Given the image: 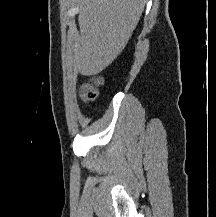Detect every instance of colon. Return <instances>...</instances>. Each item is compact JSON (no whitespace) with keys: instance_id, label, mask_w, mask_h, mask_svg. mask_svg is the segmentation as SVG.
I'll list each match as a JSON object with an SVG mask.
<instances>
[{"instance_id":"colon-1","label":"colon","mask_w":216,"mask_h":217,"mask_svg":"<svg viewBox=\"0 0 216 217\" xmlns=\"http://www.w3.org/2000/svg\"><path fill=\"white\" fill-rule=\"evenodd\" d=\"M103 83L100 77H94L89 82L83 83L79 87V97L86 104L93 103L98 97V87Z\"/></svg>"}]
</instances>
